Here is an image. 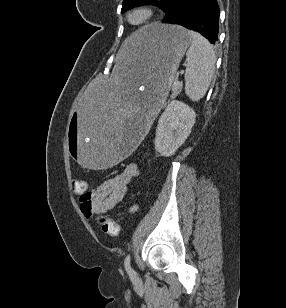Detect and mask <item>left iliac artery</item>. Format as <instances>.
<instances>
[{"label":"left iliac artery","instance_id":"obj_1","mask_svg":"<svg viewBox=\"0 0 286 308\" xmlns=\"http://www.w3.org/2000/svg\"><path fill=\"white\" fill-rule=\"evenodd\" d=\"M130 261H131V257H130V254H128L125 258L124 265H125V269L127 270V272L130 274H133L134 271L131 268Z\"/></svg>","mask_w":286,"mask_h":308}]
</instances>
